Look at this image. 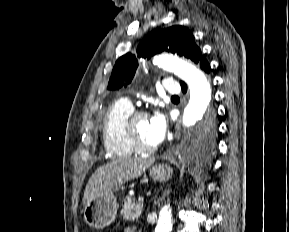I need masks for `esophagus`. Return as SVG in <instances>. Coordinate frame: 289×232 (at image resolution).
<instances>
[{
	"instance_id": "esophagus-1",
	"label": "esophagus",
	"mask_w": 289,
	"mask_h": 232,
	"mask_svg": "<svg viewBox=\"0 0 289 232\" xmlns=\"http://www.w3.org/2000/svg\"><path fill=\"white\" fill-rule=\"evenodd\" d=\"M179 137V135L178 134H176V138H178Z\"/></svg>"
}]
</instances>
